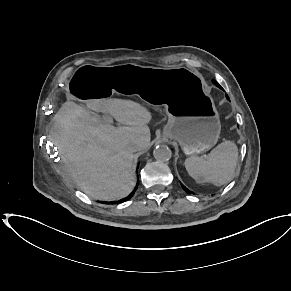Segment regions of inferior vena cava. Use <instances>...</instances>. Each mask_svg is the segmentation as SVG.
Segmentation results:
<instances>
[{
    "instance_id": "602c4592",
    "label": "inferior vena cava",
    "mask_w": 291,
    "mask_h": 291,
    "mask_svg": "<svg viewBox=\"0 0 291 291\" xmlns=\"http://www.w3.org/2000/svg\"><path fill=\"white\" fill-rule=\"evenodd\" d=\"M130 150L133 151V152H136V151L138 150V146L135 145V144H132V145L130 146Z\"/></svg>"
}]
</instances>
